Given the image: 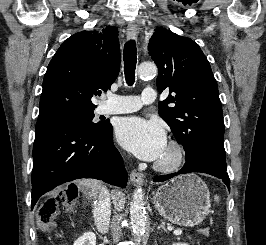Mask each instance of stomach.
<instances>
[{
  "instance_id": "0dacf381",
  "label": "stomach",
  "mask_w": 266,
  "mask_h": 245,
  "mask_svg": "<svg viewBox=\"0 0 266 245\" xmlns=\"http://www.w3.org/2000/svg\"><path fill=\"white\" fill-rule=\"evenodd\" d=\"M154 207L159 215L181 227H195L206 219L211 199L209 189L197 175H181L158 189Z\"/></svg>"
}]
</instances>
